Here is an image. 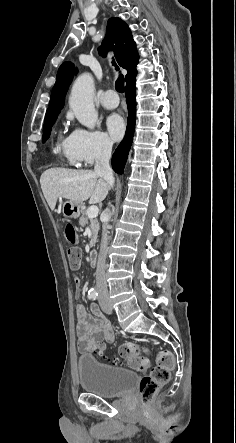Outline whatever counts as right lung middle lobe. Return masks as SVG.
Returning a JSON list of instances; mask_svg holds the SVG:
<instances>
[{
	"instance_id": "dd1d6c3e",
	"label": "right lung middle lobe",
	"mask_w": 236,
	"mask_h": 443,
	"mask_svg": "<svg viewBox=\"0 0 236 443\" xmlns=\"http://www.w3.org/2000/svg\"><path fill=\"white\" fill-rule=\"evenodd\" d=\"M56 119L57 116L44 122L42 142H46V140L49 138L52 126L55 123Z\"/></svg>"
}]
</instances>
